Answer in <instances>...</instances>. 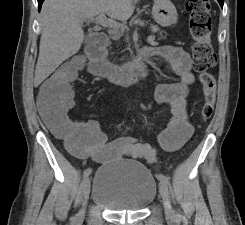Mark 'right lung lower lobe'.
I'll use <instances>...</instances> for the list:
<instances>
[{
	"mask_svg": "<svg viewBox=\"0 0 245 225\" xmlns=\"http://www.w3.org/2000/svg\"><path fill=\"white\" fill-rule=\"evenodd\" d=\"M44 0H38V8L40 10L41 6H42V3H43Z\"/></svg>",
	"mask_w": 245,
	"mask_h": 225,
	"instance_id": "1",
	"label": "right lung lower lobe"
}]
</instances>
